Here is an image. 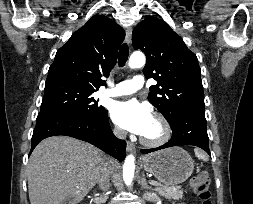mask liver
I'll use <instances>...</instances> for the list:
<instances>
[{
	"label": "liver",
	"mask_w": 253,
	"mask_h": 204,
	"mask_svg": "<svg viewBox=\"0 0 253 204\" xmlns=\"http://www.w3.org/2000/svg\"><path fill=\"white\" fill-rule=\"evenodd\" d=\"M113 161L89 143L52 136L41 141L28 163L31 204L79 203L95 186L104 164Z\"/></svg>",
	"instance_id": "1"
}]
</instances>
